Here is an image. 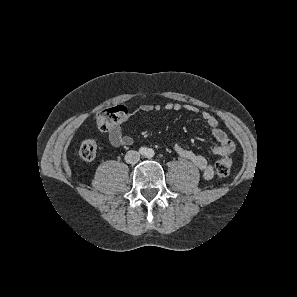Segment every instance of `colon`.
Here are the masks:
<instances>
[{"instance_id": "1", "label": "colon", "mask_w": 297, "mask_h": 297, "mask_svg": "<svg viewBox=\"0 0 297 297\" xmlns=\"http://www.w3.org/2000/svg\"><path fill=\"white\" fill-rule=\"evenodd\" d=\"M127 115V109L124 106L118 105L108 109H104L97 115V126L101 131H108L113 126L121 122ZM97 145L92 140H84L78 147L79 156L86 161L95 158ZM232 166L231 157L224 156L216 163V172L219 177L229 175Z\"/></svg>"}]
</instances>
